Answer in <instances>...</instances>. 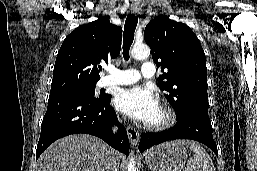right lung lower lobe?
Returning <instances> with one entry per match:
<instances>
[{
  "label": "right lung lower lobe",
  "instance_id": "right-lung-lower-lobe-1",
  "mask_svg": "<svg viewBox=\"0 0 257 171\" xmlns=\"http://www.w3.org/2000/svg\"><path fill=\"white\" fill-rule=\"evenodd\" d=\"M111 95L98 99L80 93L49 96L46 114L36 150V160L55 140L75 133H86L103 139L113 148L127 154L129 140L126 130L110 106ZM118 125L113 134L112 125Z\"/></svg>",
  "mask_w": 257,
  "mask_h": 171
}]
</instances>
